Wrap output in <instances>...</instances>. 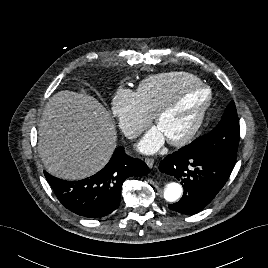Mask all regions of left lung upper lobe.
I'll use <instances>...</instances> for the list:
<instances>
[{"label":"left lung upper lobe","mask_w":268,"mask_h":268,"mask_svg":"<svg viewBox=\"0 0 268 268\" xmlns=\"http://www.w3.org/2000/svg\"><path fill=\"white\" fill-rule=\"evenodd\" d=\"M239 120L233 101L227 106L218 125L189 145L182 151L194 154L215 155L235 162L239 143Z\"/></svg>","instance_id":"1"}]
</instances>
